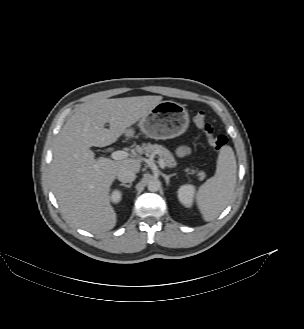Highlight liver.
<instances>
[{"label":"liver","mask_w":304,"mask_h":329,"mask_svg":"<svg viewBox=\"0 0 304 329\" xmlns=\"http://www.w3.org/2000/svg\"><path fill=\"white\" fill-rule=\"evenodd\" d=\"M162 100V96L98 99L83 105L56 138L50 167L52 190L62 213L75 226L94 234L114 228L110 188L121 169L139 172L140 160L94 158L92 146L116 142ZM109 123V129L105 128Z\"/></svg>","instance_id":"obj_1"}]
</instances>
